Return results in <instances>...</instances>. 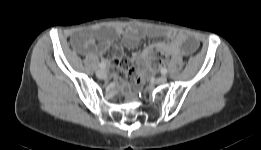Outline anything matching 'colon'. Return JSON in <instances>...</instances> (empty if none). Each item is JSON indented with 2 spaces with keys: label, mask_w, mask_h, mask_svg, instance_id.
Masks as SVG:
<instances>
[{
  "label": "colon",
  "mask_w": 261,
  "mask_h": 150,
  "mask_svg": "<svg viewBox=\"0 0 261 150\" xmlns=\"http://www.w3.org/2000/svg\"><path fill=\"white\" fill-rule=\"evenodd\" d=\"M147 64L143 65L139 71L140 76L136 78V84H142L148 77L149 73L159 68L167 59V55L162 47L154 46L147 51Z\"/></svg>",
  "instance_id": "obj_1"
}]
</instances>
